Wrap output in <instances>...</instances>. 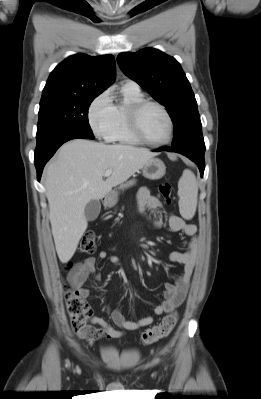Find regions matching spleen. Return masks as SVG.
Here are the masks:
<instances>
[{
  "label": "spleen",
  "mask_w": 261,
  "mask_h": 399,
  "mask_svg": "<svg viewBox=\"0 0 261 399\" xmlns=\"http://www.w3.org/2000/svg\"><path fill=\"white\" fill-rule=\"evenodd\" d=\"M179 211L184 219L195 215L198 197V185L195 175L188 169L184 170L178 182Z\"/></svg>",
  "instance_id": "spleen-1"
}]
</instances>
